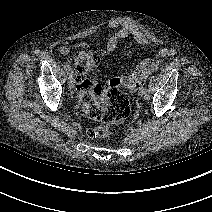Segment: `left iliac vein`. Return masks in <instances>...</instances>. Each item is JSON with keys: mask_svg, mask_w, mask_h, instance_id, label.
<instances>
[{"mask_svg": "<svg viewBox=\"0 0 212 212\" xmlns=\"http://www.w3.org/2000/svg\"><path fill=\"white\" fill-rule=\"evenodd\" d=\"M138 94H139V96H145V94H144V88H140L139 90H138ZM144 99H145V97H144ZM146 100V99H145Z\"/></svg>", "mask_w": 212, "mask_h": 212, "instance_id": "4c4485c4", "label": "left iliac vein"}]
</instances>
